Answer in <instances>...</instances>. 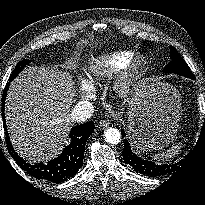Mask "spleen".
<instances>
[{
    "label": "spleen",
    "mask_w": 205,
    "mask_h": 205,
    "mask_svg": "<svg viewBox=\"0 0 205 205\" xmlns=\"http://www.w3.org/2000/svg\"><path fill=\"white\" fill-rule=\"evenodd\" d=\"M179 152V147L178 146H173L169 148L167 151L163 152L162 154H156L153 156L154 159L159 160V159H170L174 155H176Z\"/></svg>",
    "instance_id": "1"
}]
</instances>
